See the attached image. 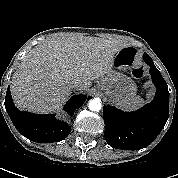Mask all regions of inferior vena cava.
Returning a JSON list of instances; mask_svg holds the SVG:
<instances>
[{
    "label": "inferior vena cava",
    "mask_w": 178,
    "mask_h": 178,
    "mask_svg": "<svg viewBox=\"0 0 178 178\" xmlns=\"http://www.w3.org/2000/svg\"><path fill=\"white\" fill-rule=\"evenodd\" d=\"M71 86L74 88V89H78L79 88V83L77 80H73L71 82Z\"/></svg>",
    "instance_id": "602c4592"
}]
</instances>
